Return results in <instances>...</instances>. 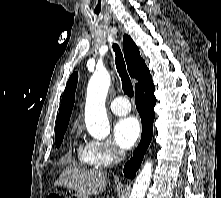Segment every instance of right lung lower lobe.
Wrapping results in <instances>:
<instances>
[{
  "label": "right lung lower lobe",
  "mask_w": 221,
  "mask_h": 198,
  "mask_svg": "<svg viewBox=\"0 0 221 198\" xmlns=\"http://www.w3.org/2000/svg\"><path fill=\"white\" fill-rule=\"evenodd\" d=\"M135 96L136 107L142 122V135L140 144L133 154V158L124 167L125 176L131 179L135 177L136 170L140 167L143 156L152 139L153 121L155 118L154 106L156 104L152 78L135 90Z\"/></svg>",
  "instance_id": "98d812e1"
}]
</instances>
